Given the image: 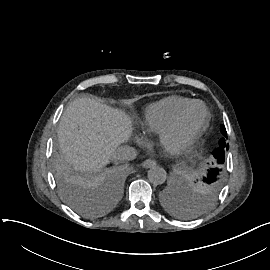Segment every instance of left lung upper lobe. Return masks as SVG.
Returning a JSON list of instances; mask_svg holds the SVG:
<instances>
[{
  "instance_id": "left-lung-upper-lobe-1",
  "label": "left lung upper lobe",
  "mask_w": 270,
  "mask_h": 270,
  "mask_svg": "<svg viewBox=\"0 0 270 270\" xmlns=\"http://www.w3.org/2000/svg\"><path fill=\"white\" fill-rule=\"evenodd\" d=\"M221 133L224 137H227V132L224 126L221 127ZM220 147L213 152V156L217 159L219 165L224 163L225 150L229 149V145L225 143V138H222L219 142ZM220 172L221 169L213 168L208 170V173L203 177L200 184L201 190L207 194L214 193L220 186Z\"/></svg>"
}]
</instances>
